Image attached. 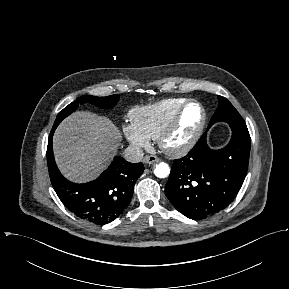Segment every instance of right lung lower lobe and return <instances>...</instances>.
I'll return each instance as SVG.
<instances>
[{
  "mask_svg": "<svg viewBox=\"0 0 289 289\" xmlns=\"http://www.w3.org/2000/svg\"><path fill=\"white\" fill-rule=\"evenodd\" d=\"M52 128L47 147V163L52 186L61 202L76 216L96 224H106L115 220L128 206L135 181L143 173L140 163H129L116 156L96 180L76 184L59 172L54 160Z\"/></svg>",
  "mask_w": 289,
  "mask_h": 289,
  "instance_id": "1",
  "label": "right lung lower lobe"
}]
</instances>
